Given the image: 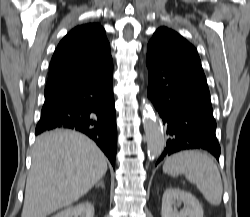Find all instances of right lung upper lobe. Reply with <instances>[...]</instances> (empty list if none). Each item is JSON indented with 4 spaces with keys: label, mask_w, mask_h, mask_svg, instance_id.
Listing matches in <instances>:
<instances>
[{
    "label": "right lung upper lobe",
    "mask_w": 250,
    "mask_h": 217,
    "mask_svg": "<svg viewBox=\"0 0 250 217\" xmlns=\"http://www.w3.org/2000/svg\"><path fill=\"white\" fill-rule=\"evenodd\" d=\"M105 30L97 23L75 27L51 59L45 94L87 80L112 64Z\"/></svg>",
    "instance_id": "1"
}]
</instances>
